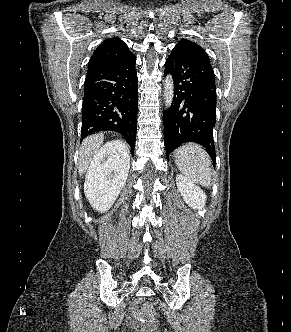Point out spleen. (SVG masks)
Returning <instances> with one entry per match:
<instances>
[{"label": "spleen", "mask_w": 291, "mask_h": 332, "mask_svg": "<svg viewBox=\"0 0 291 332\" xmlns=\"http://www.w3.org/2000/svg\"><path fill=\"white\" fill-rule=\"evenodd\" d=\"M174 160L181 173L190 181L211 186L212 162L201 146L194 143L180 146L174 154Z\"/></svg>", "instance_id": "obj_1"}]
</instances>
